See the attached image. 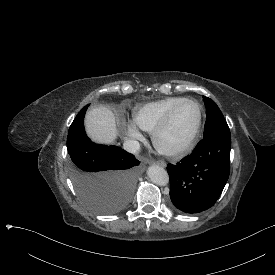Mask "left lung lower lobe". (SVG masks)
<instances>
[{
    "instance_id": "0a47b994",
    "label": "left lung lower lobe",
    "mask_w": 275,
    "mask_h": 275,
    "mask_svg": "<svg viewBox=\"0 0 275 275\" xmlns=\"http://www.w3.org/2000/svg\"><path fill=\"white\" fill-rule=\"evenodd\" d=\"M230 149V133H221L200 141L176 165L168 164L170 198L178 210L199 213L216 203L229 177Z\"/></svg>"
}]
</instances>
